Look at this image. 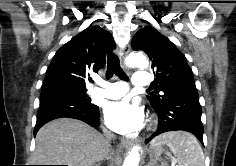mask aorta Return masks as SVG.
<instances>
[{
	"label": "aorta",
	"instance_id": "1",
	"mask_svg": "<svg viewBox=\"0 0 236 166\" xmlns=\"http://www.w3.org/2000/svg\"><path fill=\"white\" fill-rule=\"evenodd\" d=\"M126 64L129 67H137L145 69L148 67V61L142 54H131L126 60ZM139 146H134L125 158L122 166H138L140 161V154L138 152Z\"/></svg>",
	"mask_w": 236,
	"mask_h": 166
}]
</instances>
